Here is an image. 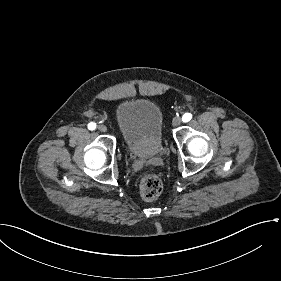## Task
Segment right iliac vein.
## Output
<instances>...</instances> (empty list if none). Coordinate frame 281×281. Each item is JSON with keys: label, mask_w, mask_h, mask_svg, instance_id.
Returning a JSON list of instances; mask_svg holds the SVG:
<instances>
[{"label": "right iliac vein", "mask_w": 281, "mask_h": 281, "mask_svg": "<svg viewBox=\"0 0 281 281\" xmlns=\"http://www.w3.org/2000/svg\"><path fill=\"white\" fill-rule=\"evenodd\" d=\"M98 130L101 132H106L107 131V127L105 125H99L98 126Z\"/></svg>", "instance_id": "obj_1"}]
</instances>
